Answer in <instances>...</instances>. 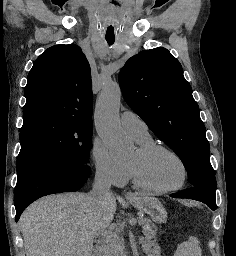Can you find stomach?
Masks as SVG:
<instances>
[{
  "label": "stomach",
  "mask_w": 236,
  "mask_h": 256,
  "mask_svg": "<svg viewBox=\"0 0 236 256\" xmlns=\"http://www.w3.org/2000/svg\"><path fill=\"white\" fill-rule=\"evenodd\" d=\"M130 203L142 212L148 214L153 221L158 223L166 221L167 212L158 199L144 196L137 200L130 201Z\"/></svg>",
  "instance_id": "obj_1"
}]
</instances>
